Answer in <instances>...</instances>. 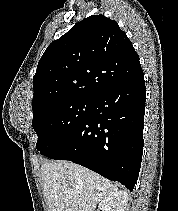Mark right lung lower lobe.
I'll return each instance as SVG.
<instances>
[{"label":"right lung lower lobe","mask_w":178,"mask_h":211,"mask_svg":"<svg viewBox=\"0 0 178 211\" xmlns=\"http://www.w3.org/2000/svg\"><path fill=\"white\" fill-rule=\"evenodd\" d=\"M145 100L140 69L93 99L84 123L45 156L80 164L132 191L141 167Z\"/></svg>","instance_id":"1"}]
</instances>
